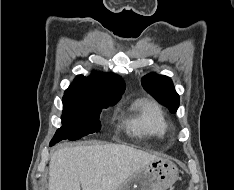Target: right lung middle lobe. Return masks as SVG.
Segmentation results:
<instances>
[{"instance_id":"right-lung-middle-lobe-1","label":"right lung middle lobe","mask_w":234,"mask_h":190,"mask_svg":"<svg viewBox=\"0 0 234 190\" xmlns=\"http://www.w3.org/2000/svg\"><path fill=\"white\" fill-rule=\"evenodd\" d=\"M115 103H97L63 98L62 127L59 128L51 145L61 140H76L100 130L99 116L103 108Z\"/></svg>"}]
</instances>
